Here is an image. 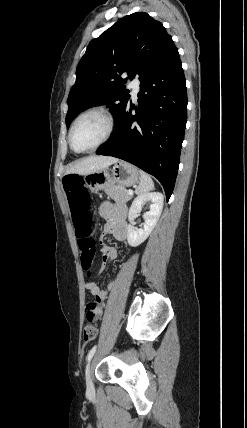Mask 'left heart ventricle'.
<instances>
[{
    "label": "left heart ventricle",
    "mask_w": 247,
    "mask_h": 428,
    "mask_svg": "<svg viewBox=\"0 0 247 428\" xmlns=\"http://www.w3.org/2000/svg\"><path fill=\"white\" fill-rule=\"evenodd\" d=\"M107 123L98 114L83 117L73 132V143L78 149H87L97 144L105 135Z\"/></svg>",
    "instance_id": "obj_1"
}]
</instances>
